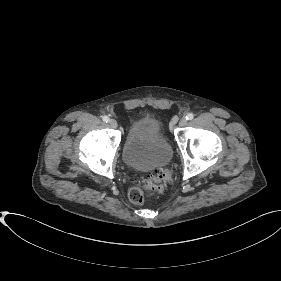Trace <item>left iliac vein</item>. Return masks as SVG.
<instances>
[{"label": "left iliac vein", "instance_id": "1", "mask_svg": "<svg viewBox=\"0 0 281 281\" xmlns=\"http://www.w3.org/2000/svg\"><path fill=\"white\" fill-rule=\"evenodd\" d=\"M187 124V119L186 118H181L180 121H179V126L180 127H183Z\"/></svg>", "mask_w": 281, "mask_h": 281}]
</instances>
